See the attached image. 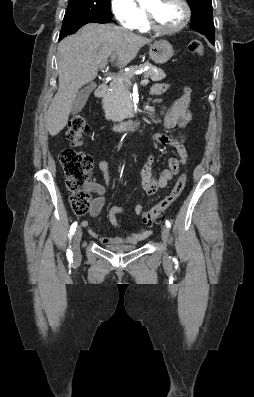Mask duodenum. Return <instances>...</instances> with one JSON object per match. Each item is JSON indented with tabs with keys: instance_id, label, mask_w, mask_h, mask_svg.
<instances>
[{
	"instance_id": "obj_1",
	"label": "duodenum",
	"mask_w": 254,
	"mask_h": 397,
	"mask_svg": "<svg viewBox=\"0 0 254 397\" xmlns=\"http://www.w3.org/2000/svg\"><path fill=\"white\" fill-rule=\"evenodd\" d=\"M107 92H108L107 86L105 84H100L95 91V95L98 98H103L106 96ZM139 127H140V120L137 118L120 121L112 125V129L115 132H119V133L137 130Z\"/></svg>"
}]
</instances>
